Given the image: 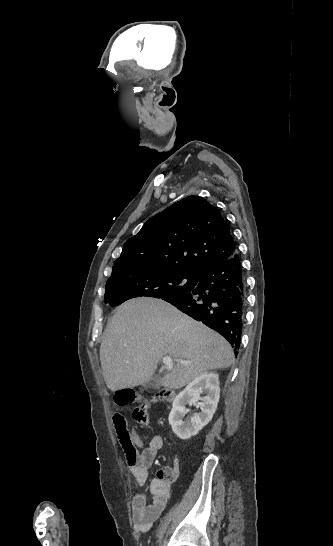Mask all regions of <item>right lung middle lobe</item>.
<instances>
[{"instance_id":"dd1d6c3e","label":"right lung middle lobe","mask_w":333,"mask_h":546,"mask_svg":"<svg viewBox=\"0 0 333 546\" xmlns=\"http://www.w3.org/2000/svg\"><path fill=\"white\" fill-rule=\"evenodd\" d=\"M197 282V275L145 270L133 266L121 267L112 271L106 283L104 302L116 306L140 296L162 298L186 294Z\"/></svg>"}]
</instances>
